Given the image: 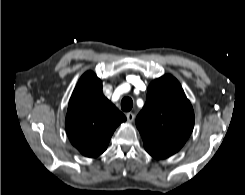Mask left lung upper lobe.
Segmentation results:
<instances>
[{
	"label": "left lung upper lobe",
	"mask_w": 245,
	"mask_h": 195,
	"mask_svg": "<svg viewBox=\"0 0 245 195\" xmlns=\"http://www.w3.org/2000/svg\"><path fill=\"white\" fill-rule=\"evenodd\" d=\"M136 126L150 152L169 157L185 144L193 131L194 111L173 76L164 75L151 82Z\"/></svg>",
	"instance_id": "obj_1"
}]
</instances>
